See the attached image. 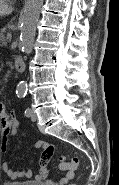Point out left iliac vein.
Returning <instances> with one entry per match:
<instances>
[{"label":"left iliac vein","mask_w":119,"mask_h":185,"mask_svg":"<svg viewBox=\"0 0 119 185\" xmlns=\"http://www.w3.org/2000/svg\"><path fill=\"white\" fill-rule=\"evenodd\" d=\"M29 117L31 118L32 121H36L37 120V115H36V113L32 109L30 110Z\"/></svg>","instance_id":"1"}]
</instances>
